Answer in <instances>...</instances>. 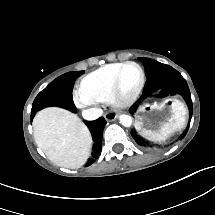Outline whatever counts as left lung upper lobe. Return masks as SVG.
I'll list each match as a JSON object with an SVG mask.
<instances>
[{
    "instance_id": "1",
    "label": "left lung upper lobe",
    "mask_w": 215,
    "mask_h": 215,
    "mask_svg": "<svg viewBox=\"0 0 215 215\" xmlns=\"http://www.w3.org/2000/svg\"><path fill=\"white\" fill-rule=\"evenodd\" d=\"M139 60L145 66L147 81L145 83L142 96L132 107L131 113H133L136 110V107L140 102H142L146 97H148L150 94L154 92H161L162 94H167V92L170 93L177 92L186 101L189 108L191 120L193 112L192 100L188 85L185 79L181 76V74L171 66L159 63L155 60L149 58H139ZM189 125L190 122L187 126L186 131L182 135V138L185 137L189 129ZM131 135L138 145L141 146L147 145L146 142L142 140L139 136H137L136 133H134L133 131H131Z\"/></svg>"
}]
</instances>
